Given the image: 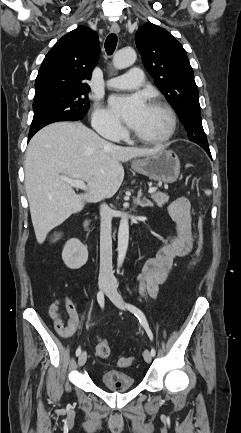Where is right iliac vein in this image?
I'll return each instance as SVG.
<instances>
[{"label":"right iliac vein","instance_id":"1","mask_svg":"<svg viewBox=\"0 0 241 433\" xmlns=\"http://www.w3.org/2000/svg\"><path fill=\"white\" fill-rule=\"evenodd\" d=\"M108 285H109V283L107 281L103 280V281L99 282V288L101 290L106 289L108 287ZM86 360H87V353H86V351H83L78 358V365L83 366L86 363Z\"/></svg>","mask_w":241,"mask_h":433}]
</instances>
